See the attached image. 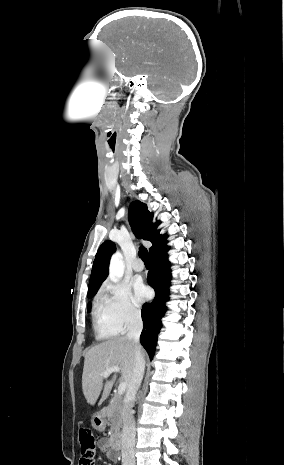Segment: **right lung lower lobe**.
I'll return each instance as SVG.
<instances>
[{"label":"right lung lower lobe","mask_w":284,"mask_h":465,"mask_svg":"<svg viewBox=\"0 0 284 465\" xmlns=\"http://www.w3.org/2000/svg\"><path fill=\"white\" fill-rule=\"evenodd\" d=\"M169 247L162 246L150 254L151 270L148 273V284L155 290V298L151 303H145L142 307V320L144 324L140 336V342L152 359L157 336L162 327L161 318L166 312L165 302L168 300L170 280V262L167 251Z\"/></svg>","instance_id":"1"}]
</instances>
